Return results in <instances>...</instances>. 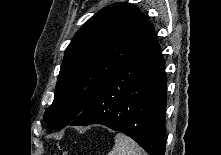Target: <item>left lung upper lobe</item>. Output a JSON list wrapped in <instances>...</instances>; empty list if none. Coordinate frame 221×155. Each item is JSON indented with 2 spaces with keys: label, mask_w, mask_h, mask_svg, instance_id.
I'll return each instance as SVG.
<instances>
[{
  "label": "left lung upper lobe",
  "mask_w": 221,
  "mask_h": 155,
  "mask_svg": "<svg viewBox=\"0 0 221 155\" xmlns=\"http://www.w3.org/2000/svg\"><path fill=\"white\" fill-rule=\"evenodd\" d=\"M153 32V25L128 3L112 4L90 18L66 49L54 101L44 114L49 127L62 129L76 118Z\"/></svg>",
  "instance_id": "1"
}]
</instances>
